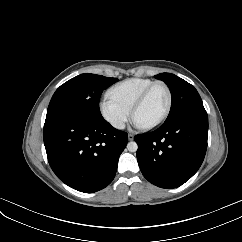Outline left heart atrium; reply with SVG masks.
I'll return each mask as SVG.
<instances>
[{"label": "left heart atrium", "instance_id": "left-heart-atrium-1", "mask_svg": "<svg viewBox=\"0 0 242 242\" xmlns=\"http://www.w3.org/2000/svg\"><path fill=\"white\" fill-rule=\"evenodd\" d=\"M134 122H135V121H134ZM135 125H136L137 127H142V126H140V125H139L138 123H136V122H135Z\"/></svg>", "mask_w": 242, "mask_h": 242}]
</instances>
